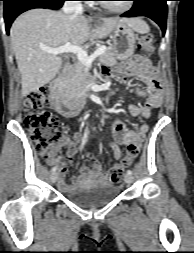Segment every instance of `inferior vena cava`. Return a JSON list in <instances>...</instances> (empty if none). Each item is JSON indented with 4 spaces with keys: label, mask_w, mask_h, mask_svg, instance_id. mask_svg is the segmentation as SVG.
Listing matches in <instances>:
<instances>
[{
    "label": "inferior vena cava",
    "mask_w": 194,
    "mask_h": 253,
    "mask_svg": "<svg viewBox=\"0 0 194 253\" xmlns=\"http://www.w3.org/2000/svg\"><path fill=\"white\" fill-rule=\"evenodd\" d=\"M63 12L65 14H82L83 7L80 1H65Z\"/></svg>",
    "instance_id": "obj_1"
}]
</instances>
